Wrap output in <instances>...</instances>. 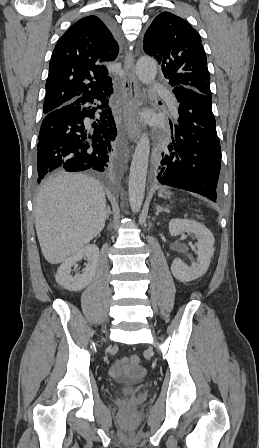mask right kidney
I'll use <instances>...</instances> for the list:
<instances>
[{
    "mask_svg": "<svg viewBox=\"0 0 259 448\" xmlns=\"http://www.w3.org/2000/svg\"><path fill=\"white\" fill-rule=\"evenodd\" d=\"M82 258H87L88 264H85L86 268L83 270V274H76L71 276V268L75 266L76 262H80ZM99 260V248L95 244H88L81 250H78L76 254H72L68 260H65L57 270L55 280L57 284L63 286L65 290L70 292H80L84 290L88 284H90L92 278L95 276L96 268Z\"/></svg>",
    "mask_w": 259,
    "mask_h": 448,
    "instance_id": "1",
    "label": "right kidney"
}]
</instances>
